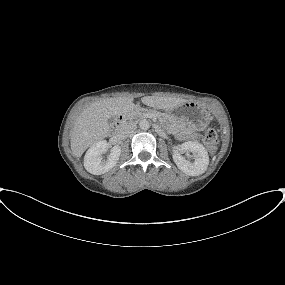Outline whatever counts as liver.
<instances>
[{
  "label": "liver",
  "instance_id": "1",
  "mask_svg": "<svg viewBox=\"0 0 285 285\" xmlns=\"http://www.w3.org/2000/svg\"><path fill=\"white\" fill-rule=\"evenodd\" d=\"M133 96L105 98L90 104L77 117L71 132L70 146L75 157L108 136V119L135 109ZM188 100L175 97L145 96L141 102L156 109L172 110Z\"/></svg>",
  "mask_w": 285,
  "mask_h": 285
}]
</instances>
